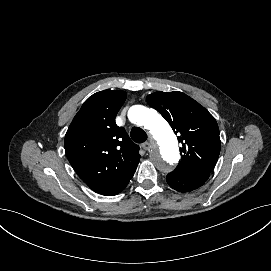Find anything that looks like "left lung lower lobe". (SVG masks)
Here are the masks:
<instances>
[{
    "label": "left lung lower lobe",
    "mask_w": 271,
    "mask_h": 271,
    "mask_svg": "<svg viewBox=\"0 0 271 271\" xmlns=\"http://www.w3.org/2000/svg\"><path fill=\"white\" fill-rule=\"evenodd\" d=\"M208 178L209 176H193L171 172L167 175L166 180L171 188L176 191L186 193L201 187Z\"/></svg>",
    "instance_id": "obj_1"
}]
</instances>
